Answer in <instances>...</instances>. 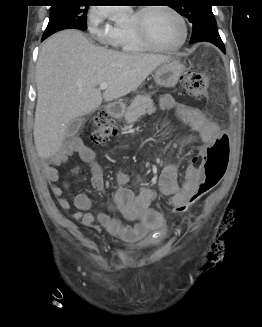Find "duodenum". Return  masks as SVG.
I'll return each instance as SVG.
<instances>
[{
    "label": "duodenum",
    "mask_w": 262,
    "mask_h": 327,
    "mask_svg": "<svg viewBox=\"0 0 262 327\" xmlns=\"http://www.w3.org/2000/svg\"><path fill=\"white\" fill-rule=\"evenodd\" d=\"M121 106L118 104H110L106 107V111L110 116L118 117L121 113Z\"/></svg>",
    "instance_id": "duodenum-1"
}]
</instances>
